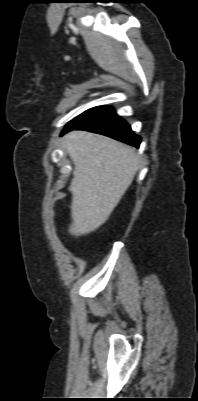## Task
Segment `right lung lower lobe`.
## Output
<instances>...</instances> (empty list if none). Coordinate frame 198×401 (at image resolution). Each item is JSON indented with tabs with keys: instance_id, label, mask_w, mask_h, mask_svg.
Instances as JSON below:
<instances>
[{
	"instance_id": "right-lung-lower-lobe-1",
	"label": "right lung lower lobe",
	"mask_w": 198,
	"mask_h": 401,
	"mask_svg": "<svg viewBox=\"0 0 198 401\" xmlns=\"http://www.w3.org/2000/svg\"><path fill=\"white\" fill-rule=\"evenodd\" d=\"M71 130H87L103 134L135 147H138L141 142L140 137L132 132L130 126L112 108L107 106H101L85 121L65 130L63 133Z\"/></svg>"
}]
</instances>
